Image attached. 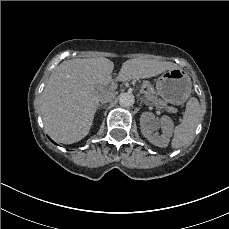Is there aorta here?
<instances>
[{"instance_id": "obj_1", "label": "aorta", "mask_w": 229, "mask_h": 229, "mask_svg": "<svg viewBox=\"0 0 229 229\" xmlns=\"http://www.w3.org/2000/svg\"><path fill=\"white\" fill-rule=\"evenodd\" d=\"M135 102V98L132 93H122L119 96V103L123 107H131Z\"/></svg>"}]
</instances>
